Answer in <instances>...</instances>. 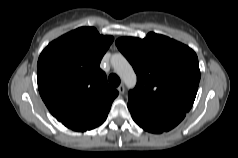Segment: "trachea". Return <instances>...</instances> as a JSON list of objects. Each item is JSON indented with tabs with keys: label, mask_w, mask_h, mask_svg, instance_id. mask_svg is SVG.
Segmentation results:
<instances>
[{
	"label": "trachea",
	"mask_w": 238,
	"mask_h": 158,
	"mask_svg": "<svg viewBox=\"0 0 238 158\" xmlns=\"http://www.w3.org/2000/svg\"><path fill=\"white\" fill-rule=\"evenodd\" d=\"M109 83L114 86L117 87L120 84V79L116 74H111L109 76Z\"/></svg>",
	"instance_id": "trachea-1"
}]
</instances>
